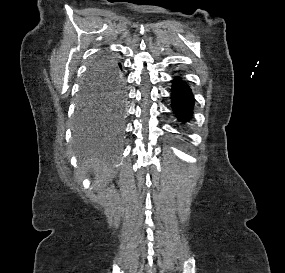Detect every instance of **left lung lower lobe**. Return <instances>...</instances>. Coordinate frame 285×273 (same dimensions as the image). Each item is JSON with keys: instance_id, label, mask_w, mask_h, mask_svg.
<instances>
[{"instance_id": "1", "label": "left lung lower lobe", "mask_w": 285, "mask_h": 273, "mask_svg": "<svg viewBox=\"0 0 285 273\" xmlns=\"http://www.w3.org/2000/svg\"><path fill=\"white\" fill-rule=\"evenodd\" d=\"M174 86L172 89V105L177 117L180 121H188L192 114L194 97L191 89L176 77L173 80Z\"/></svg>"}]
</instances>
